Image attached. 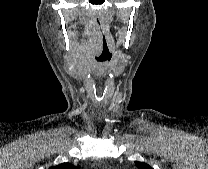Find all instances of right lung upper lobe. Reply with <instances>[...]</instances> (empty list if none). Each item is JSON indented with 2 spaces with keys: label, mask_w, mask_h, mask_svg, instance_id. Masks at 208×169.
Wrapping results in <instances>:
<instances>
[{
  "label": "right lung upper lobe",
  "mask_w": 208,
  "mask_h": 169,
  "mask_svg": "<svg viewBox=\"0 0 208 169\" xmlns=\"http://www.w3.org/2000/svg\"><path fill=\"white\" fill-rule=\"evenodd\" d=\"M49 169H80L79 166H74L71 163H62L56 166H52Z\"/></svg>",
  "instance_id": "obj_1"
}]
</instances>
